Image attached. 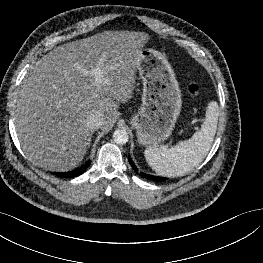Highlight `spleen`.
<instances>
[{
  "label": "spleen",
  "instance_id": "1",
  "mask_svg": "<svg viewBox=\"0 0 263 263\" xmlns=\"http://www.w3.org/2000/svg\"><path fill=\"white\" fill-rule=\"evenodd\" d=\"M218 104L212 101L206 109V119L200 130L189 140L167 147H148L144 151L148 165L159 175L184 176L194 170L208 154L218 123Z\"/></svg>",
  "mask_w": 263,
  "mask_h": 263
}]
</instances>
